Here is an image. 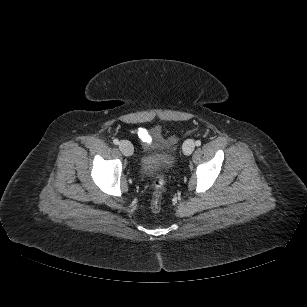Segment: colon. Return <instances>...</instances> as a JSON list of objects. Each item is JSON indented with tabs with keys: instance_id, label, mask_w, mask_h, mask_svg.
<instances>
[{
	"instance_id": "colon-1",
	"label": "colon",
	"mask_w": 307,
	"mask_h": 307,
	"mask_svg": "<svg viewBox=\"0 0 307 307\" xmlns=\"http://www.w3.org/2000/svg\"><path fill=\"white\" fill-rule=\"evenodd\" d=\"M155 192L151 202V209L153 212L157 213L161 209V199L162 191L165 186V177L163 175H158L154 181Z\"/></svg>"
}]
</instances>
